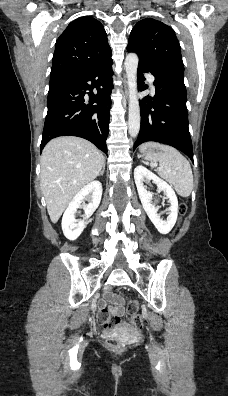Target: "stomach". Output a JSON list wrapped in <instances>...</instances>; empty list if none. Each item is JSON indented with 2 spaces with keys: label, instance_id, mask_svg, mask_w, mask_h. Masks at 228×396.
Here are the masks:
<instances>
[{
  "label": "stomach",
  "instance_id": "0dacf381",
  "mask_svg": "<svg viewBox=\"0 0 228 396\" xmlns=\"http://www.w3.org/2000/svg\"><path fill=\"white\" fill-rule=\"evenodd\" d=\"M143 153V155L146 157V156H148V155H152V156H158V155H160V152L158 151V150H151V149H148V150H146V151H144V152H142Z\"/></svg>",
  "mask_w": 228,
  "mask_h": 396
}]
</instances>
